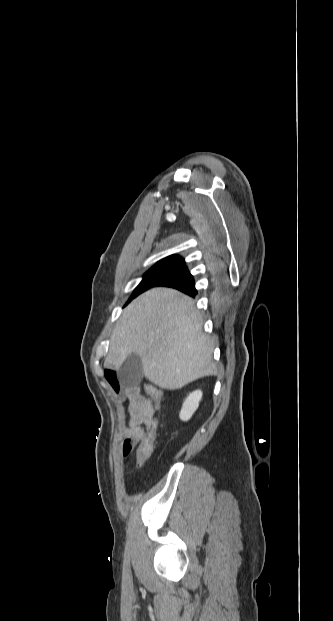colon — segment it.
Masks as SVG:
<instances>
[{
    "label": "colon",
    "instance_id": "5ec220e1",
    "mask_svg": "<svg viewBox=\"0 0 333 621\" xmlns=\"http://www.w3.org/2000/svg\"><path fill=\"white\" fill-rule=\"evenodd\" d=\"M150 388V396L158 408L160 401L162 399V391L154 386L149 385ZM158 429V420L155 417L149 425L145 427L144 433L138 440L137 450H136V463L137 467H142L150 458L153 451V441L157 434Z\"/></svg>",
    "mask_w": 333,
    "mask_h": 621
}]
</instances>
